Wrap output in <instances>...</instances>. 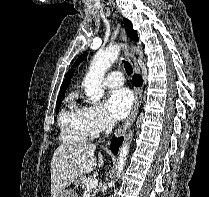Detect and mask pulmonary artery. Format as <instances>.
<instances>
[{"mask_svg":"<svg viewBox=\"0 0 209 197\" xmlns=\"http://www.w3.org/2000/svg\"><path fill=\"white\" fill-rule=\"evenodd\" d=\"M124 83V77L121 72H110L105 78V84L110 87L120 86Z\"/></svg>","mask_w":209,"mask_h":197,"instance_id":"pulmonary-artery-1","label":"pulmonary artery"}]
</instances>
